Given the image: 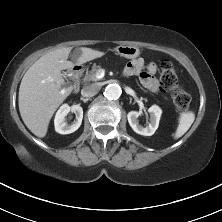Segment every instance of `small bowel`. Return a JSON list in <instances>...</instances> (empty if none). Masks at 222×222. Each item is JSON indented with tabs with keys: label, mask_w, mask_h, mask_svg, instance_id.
<instances>
[{
	"label": "small bowel",
	"mask_w": 222,
	"mask_h": 222,
	"mask_svg": "<svg viewBox=\"0 0 222 222\" xmlns=\"http://www.w3.org/2000/svg\"><path fill=\"white\" fill-rule=\"evenodd\" d=\"M156 71L157 65L154 62L145 64L142 58H137L126 65L124 74L127 76H138L145 88L157 93L159 91V82L154 77Z\"/></svg>",
	"instance_id": "c3829d8e"
}]
</instances>
